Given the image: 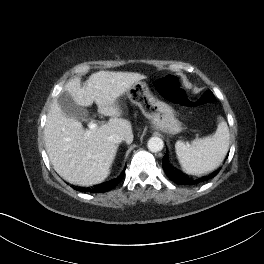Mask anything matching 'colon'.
Masks as SVG:
<instances>
[{
	"label": "colon",
	"instance_id": "obj_1",
	"mask_svg": "<svg viewBox=\"0 0 264 264\" xmlns=\"http://www.w3.org/2000/svg\"><path fill=\"white\" fill-rule=\"evenodd\" d=\"M158 90L164 98L186 107L206 105L214 101V94L211 91H204L197 98L190 97L182 88L178 77L172 74L160 78Z\"/></svg>",
	"mask_w": 264,
	"mask_h": 264
}]
</instances>
